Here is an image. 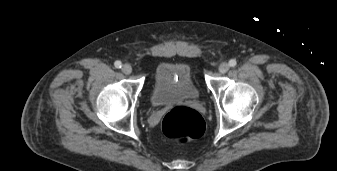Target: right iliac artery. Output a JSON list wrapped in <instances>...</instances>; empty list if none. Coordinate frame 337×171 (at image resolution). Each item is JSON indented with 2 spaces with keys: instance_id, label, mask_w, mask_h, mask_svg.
Returning a JSON list of instances; mask_svg holds the SVG:
<instances>
[{
  "instance_id": "obj_1",
  "label": "right iliac artery",
  "mask_w": 337,
  "mask_h": 171,
  "mask_svg": "<svg viewBox=\"0 0 337 171\" xmlns=\"http://www.w3.org/2000/svg\"><path fill=\"white\" fill-rule=\"evenodd\" d=\"M114 65H115L116 68L122 67V63L120 61H116Z\"/></svg>"
}]
</instances>
